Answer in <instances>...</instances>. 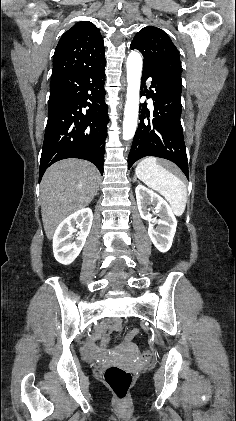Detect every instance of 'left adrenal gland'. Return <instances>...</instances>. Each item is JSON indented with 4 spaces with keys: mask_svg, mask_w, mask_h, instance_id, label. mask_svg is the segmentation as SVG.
<instances>
[{
    "mask_svg": "<svg viewBox=\"0 0 236 421\" xmlns=\"http://www.w3.org/2000/svg\"><path fill=\"white\" fill-rule=\"evenodd\" d=\"M135 180H137L136 174H134V176H133V182H135Z\"/></svg>",
    "mask_w": 236,
    "mask_h": 421,
    "instance_id": "a2214340",
    "label": "left adrenal gland"
}]
</instances>
